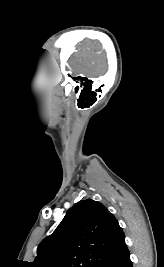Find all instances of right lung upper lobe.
<instances>
[{"mask_svg": "<svg viewBox=\"0 0 164 267\" xmlns=\"http://www.w3.org/2000/svg\"><path fill=\"white\" fill-rule=\"evenodd\" d=\"M115 217L92 199L70 208L56 230L38 246L33 267H99L126 246Z\"/></svg>", "mask_w": 164, "mask_h": 267, "instance_id": "1", "label": "right lung upper lobe"}]
</instances>
